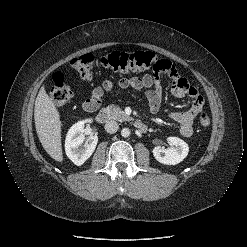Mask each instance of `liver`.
I'll list each match as a JSON object with an SVG mask.
<instances>
[{
	"label": "liver",
	"mask_w": 247,
	"mask_h": 247,
	"mask_svg": "<svg viewBox=\"0 0 247 247\" xmlns=\"http://www.w3.org/2000/svg\"><path fill=\"white\" fill-rule=\"evenodd\" d=\"M34 120L38 138L45 151L55 161H63L60 114L42 86L35 100Z\"/></svg>",
	"instance_id": "6515ba94"
}]
</instances>
